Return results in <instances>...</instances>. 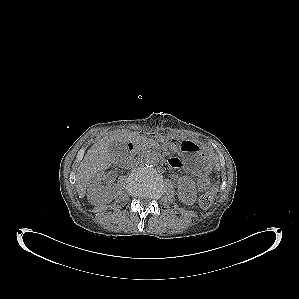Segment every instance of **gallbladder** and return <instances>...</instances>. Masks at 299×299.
<instances>
[{
	"label": "gallbladder",
	"instance_id": "1",
	"mask_svg": "<svg viewBox=\"0 0 299 299\" xmlns=\"http://www.w3.org/2000/svg\"><path fill=\"white\" fill-rule=\"evenodd\" d=\"M109 151L118 155L124 154L126 152V145L121 142H113L109 147Z\"/></svg>",
	"mask_w": 299,
	"mask_h": 299
}]
</instances>
